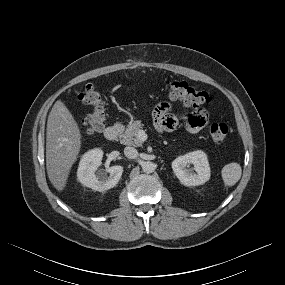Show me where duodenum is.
I'll list each match as a JSON object with an SVG mask.
<instances>
[{"label": "duodenum", "mask_w": 285, "mask_h": 285, "mask_svg": "<svg viewBox=\"0 0 285 285\" xmlns=\"http://www.w3.org/2000/svg\"><path fill=\"white\" fill-rule=\"evenodd\" d=\"M120 134V128L117 125L109 126L104 131V136L109 141H114Z\"/></svg>", "instance_id": "duodenum-1"}]
</instances>
